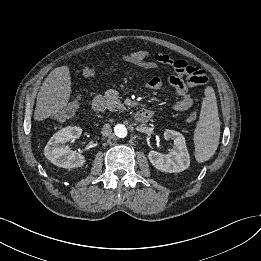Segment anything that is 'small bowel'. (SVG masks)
Segmentation results:
<instances>
[{
	"label": "small bowel",
	"mask_w": 261,
	"mask_h": 261,
	"mask_svg": "<svg viewBox=\"0 0 261 261\" xmlns=\"http://www.w3.org/2000/svg\"><path fill=\"white\" fill-rule=\"evenodd\" d=\"M127 60L139 67L146 68L145 62L150 61L155 65V62L162 64H169L172 58L163 53H151L147 50H139L130 52L127 55ZM83 76L85 78L91 77L96 73V67L94 65H88L83 69ZM165 82L173 88L177 99L173 103V108L177 111L188 110L194 102L193 97L190 95L189 90L193 88L188 82L183 81L177 76H169ZM164 81L158 77L153 76L148 81V88L157 91L163 87Z\"/></svg>",
	"instance_id": "1"
}]
</instances>
